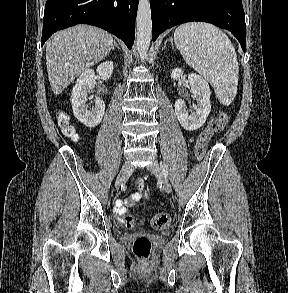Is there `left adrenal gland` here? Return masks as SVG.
Returning a JSON list of instances; mask_svg holds the SVG:
<instances>
[{"mask_svg":"<svg viewBox=\"0 0 288 293\" xmlns=\"http://www.w3.org/2000/svg\"><path fill=\"white\" fill-rule=\"evenodd\" d=\"M167 41H170L171 42V46H172V48H174V45H173V41H172V39L170 38V39H167ZM167 41L165 42V44L167 43ZM165 47V46H164Z\"/></svg>","mask_w":288,"mask_h":293,"instance_id":"left-adrenal-gland-1","label":"left adrenal gland"}]
</instances>
